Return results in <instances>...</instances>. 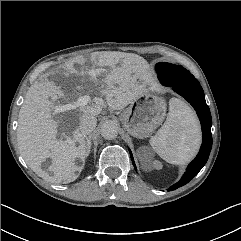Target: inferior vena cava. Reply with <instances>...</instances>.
Instances as JSON below:
<instances>
[{"instance_id":"inferior-vena-cava-1","label":"inferior vena cava","mask_w":241,"mask_h":241,"mask_svg":"<svg viewBox=\"0 0 241 241\" xmlns=\"http://www.w3.org/2000/svg\"><path fill=\"white\" fill-rule=\"evenodd\" d=\"M97 119L94 115L84 114L79 124V130L82 134H90L96 127Z\"/></svg>"}]
</instances>
